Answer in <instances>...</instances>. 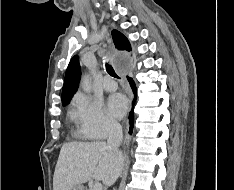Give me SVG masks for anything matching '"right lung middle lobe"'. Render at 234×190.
I'll return each instance as SVG.
<instances>
[{
	"label": "right lung middle lobe",
	"instance_id": "obj_1",
	"mask_svg": "<svg viewBox=\"0 0 234 190\" xmlns=\"http://www.w3.org/2000/svg\"><path fill=\"white\" fill-rule=\"evenodd\" d=\"M68 103H64V104H62L63 106H65V105H67Z\"/></svg>",
	"mask_w": 234,
	"mask_h": 190
}]
</instances>
